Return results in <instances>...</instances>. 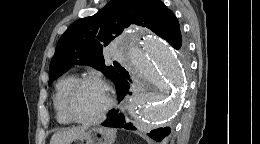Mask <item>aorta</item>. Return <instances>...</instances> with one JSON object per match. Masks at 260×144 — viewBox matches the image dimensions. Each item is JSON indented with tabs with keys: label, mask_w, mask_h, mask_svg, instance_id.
I'll return each mask as SVG.
<instances>
[{
	"label": "aorta",
	"mask_w": 260,
	"mask_h": 144,
	"mask_svg": "<svg viewBox=\"0 0 260 144\" xmlns=\"http://www.w3.org/2000/svg\"><path fill=\"white\" fill-rule=\"evenodd\" d=\"M123 46L131 70L137 76L160 90L171 92L135 96L130 107L137 125L142 128L169 119L176 113L185 87L184 67L178 55L166 41L147 31L127 35Z\"/></svg>",
	"instance_id": "aorta-1"
}]
</instances>
